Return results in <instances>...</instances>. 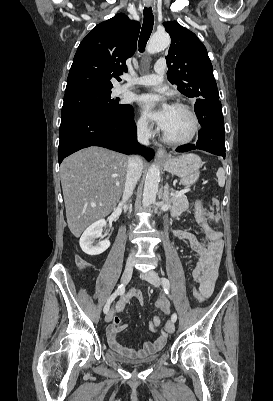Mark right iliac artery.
I'll list each match as a JSON object with an SVG mask.
<instances>
[{
  "mask_svg": "<svg viewBox=\"0 0 273 401\" xmlns=\"http://www.w3.org/2000/svg\"><path fill=\"white\" fill-rule=\"evenodd\" d=\"M125 291V286L123 284H121L120 286H118L117 290L108 298L106 305L104 306V313H107L109 311L110 308V304L112 303V301L119 295L124 293Z\"/></svg>",
  "mask_w": 273,
  "mask_h": 401,
  "instance_id": "right-iliac-artery-1",
  "label": "right iliac artery"
}]
</instances>
